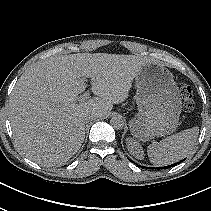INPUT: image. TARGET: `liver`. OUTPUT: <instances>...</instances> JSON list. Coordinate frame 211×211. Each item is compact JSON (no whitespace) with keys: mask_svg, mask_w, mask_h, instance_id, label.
<instances>
[{"mask_svg":"<svg viewBox=\"0 0 211 211\" xmlns=\"http://www.w3.org/2000/svg\"><path fill=\"white\" fill-rule=\"evenodd\" d=\"M148 62L135 55L78 53L34 65L18 79L9 101L15 144L43 166L65 164L84 141V117H106L113 104L126 100ZM85 78L97 97L76 103Z\"/></svg>","mask_w":211,"mask_h":211,"instance_id":"6515ba94","label":"liver"}]
</instances>
